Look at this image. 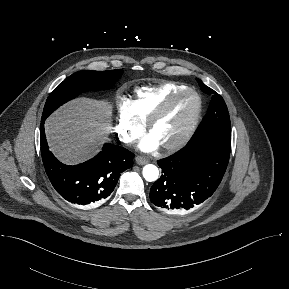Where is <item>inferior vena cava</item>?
Listing matches in <instances>:
<instances>
[{"label": "inferior vena cava", "instance_id": "1", "mask_svg": "<svg viewBox=\"0 0 289 289\" xmlns=\"http://www.w3.org/2000/svg\"><path fill=\"white\" fill-rule=\"evenodd\" d=\"M120 140L125 142V143H128L131 141L129 138H126V137H121Z\"/></svg>", "mask_w": 289, "mask_h": 289}]
</instances>
